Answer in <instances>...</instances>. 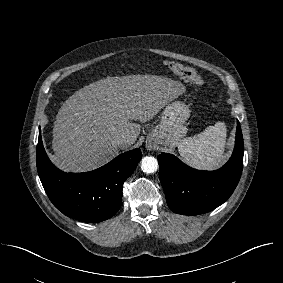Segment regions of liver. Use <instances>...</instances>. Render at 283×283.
Returning <instances> with one entry per match:
<instances>
[{
    "label": "liver",
    "instance_id": "liver-1",
    "mask_svg": "<svg viewBox=\"0 0 283 283\" xmlns=\"http://www.w3.org/2000/svg\"><path fill=\"white\" fill-rule=\"evenodd\" d=\"M185 91L170 78L156 75L106 77L70 96L53 127V163L66 172H85L109 162L130 147L141 132L135 121L151 120ZM127 137L119 145L115 139Z\"/></svg>",
    "mask_w": 283,
    "mask_h": 283
}]
</instances>
